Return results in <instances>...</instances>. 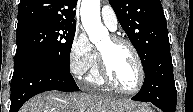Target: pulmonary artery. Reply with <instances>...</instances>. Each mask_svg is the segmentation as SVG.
Returning a JSON list of instances; mask_svg holds the SVG:
<instances>
[{"mask_svg":"<svg viewBox=\"0 0 193 112\" xmlns=\"http://www.w3.org/2000/svg\"><path fill=\"white\" fill-rule=\"evenodd\" d=\"M101 19L104 25L110 30L115 31L117 29L118 20L114 10L109 6L105 5L101 9Z\"/></svg>","mask_w":193,"mask_h":112,"instance_id":"e3ab8cb5","label":"pulmonary artery"}]
</instances>
